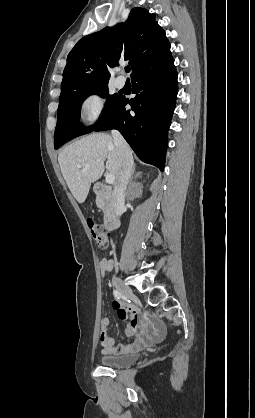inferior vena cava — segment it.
<instances>
[{
  "label": "inferior vena cava",
  "mask_w": 255,
  "mask_h": 418,
  "mask_svg": "<svg viewBox=\"0 0 255 418\" xmlns=\"http://www.w3.org/2000/svg\"><path fill=\"white\" fill-rule=\"evenodd\" d=\"M112 137L118 153V173L113 192V204L115 214L119 216L124 207L126 187L133 172V157L129 145L119 131L112 130Z\"/></svg>",
  "instance_id": "1"
}]
</instances>
